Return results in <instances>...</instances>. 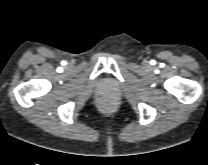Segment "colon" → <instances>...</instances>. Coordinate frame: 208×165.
I'll use <instances>...</instances> for the list:
<instances>
[{
  "label": "colon",
  "instance_id": "1",
  "mask_svg": "<svg viewBox=\"0 0 208 165\" xmlns=\"http://www.w3.org/2000/svg\"><path fill=\"white\" fill-rule=\"evenodd\" d=\"M100 105L103 109L108 110L111 108L112 103L108 100H103Z\"/></svg>",
  "mask_w": 208,
  "mask_h": 165
}]
</instances>
